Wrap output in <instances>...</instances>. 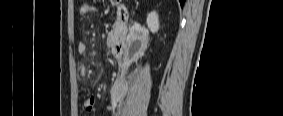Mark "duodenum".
<instances>
[{
	"label": "duodenum",
	"instance_id": "duodenum-1",
	"mask_svg": "<svg viewBox=\"0 0 283 116\" xmlns=\"http://www.w3.org/2000/svg\"><path fill=\"white\" fill-rule=\"evenodd\" d=\"M116 19L118 26L123 29L129 19V11L123 5H118L116 7ZM126 49V38L124 35H119L117 40L112 46V54L114 57L119 59H124V53Z\"/></svg>",
	"mask_w": 283,
	"mask_h": 116
}]
</instances>
